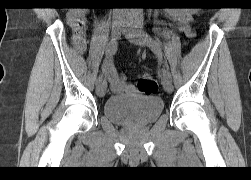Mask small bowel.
<instances>
[{
  "instance_id": "obj_1",
  "label": "small bowel",
  "mask_w": 251,
  "mask_h": 180,
  "mask_svg": "<svg viewBox=\"0 0 251 180\" xmlns=\"http://www.w3.org/2000/svg\"><path fill=\"white\" fill-rule=\"evenodd\" d=\"M167 14L177 21L180 31L186 37H194V31L191 28V20L194 14L192 10L185 9H172ZM68 24L72 31V43L79 52L86 50V35L88 30V21L86 12L83 10H73L68 15ZM104 70L109 76L111 88L114 92L135 93V88L125 81L123 75L118 74L111 70L110 62H106Z\"/></svg>"
}]
</instances>
